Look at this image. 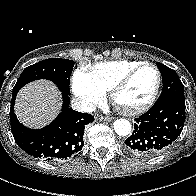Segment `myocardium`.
<instances>
[{
  "instance_id": "myocardium-1",
  "label": "myocardium",
  "mask_w": 196,
  "mask_h": 196,
  "mask_svg": "<svg viewBox=\"0 0 196 196\" xmlns=\"http://www.w3.org/2000/svg\"><path fill=\"white\" fill-rule=\"evenodd\" d=\"M152 68L155 70L157 74V82L155 89L149 99L145 101L143 104L131 107V108H123L124 112L128 114H139L146 110H148L156 101L158 94L160 92V88L162 85V74L159 68L154 65L153 63H141L138 66L132 68L127 73H125L111 88L110 90V97L114 104H117V96L118 94L128 85V83L131 81V79L135 76L136 73H138L143 68Z\"/></svg>"
}]
</instances>
